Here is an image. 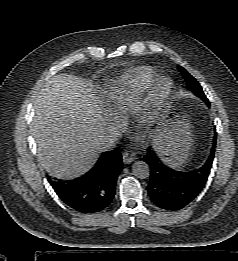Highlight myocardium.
Returning a JSON list of instances; mask_svg holds the SVG:
<instances>
[{
  "instance_id": "obj_1",
  "label": "myocardium",
  "mask_w": 238,
  "mask_h": 261,
  "mask_svg": "<svg viewBox=\"0 0 238 261\" xmlns=\"http://www.w3.org/2000/svg\"><path fill=\"white\" fill-rule=\"evenodd\" d=\"M171 86L172 82L168 77H154L149 87L148 99L155 101L164 98L169 93Z\"/></svg>"
}]
</instances>
